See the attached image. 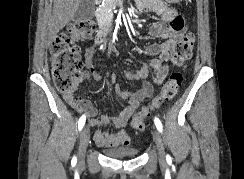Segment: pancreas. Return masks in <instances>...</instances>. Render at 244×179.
<instances>
[{
  "mask_svg": "<svg viewBox=\"0 0 244 179\" xmlns=\"http://www.w3.org/2000/svg\"><path fill=\"white\" fill-rule=\"evenodd\" d=\"M115 0H106V2H104L103 6H101L99 12H98V16H100V18H102V20H111L112 18V8L113 6H115L114 4Z\"/></svg>",
  "mask_w": 244,
  "mask_h": 179,
  "instance_id": "obj_1",
  "label": "pancreas"
}]
</instances>
